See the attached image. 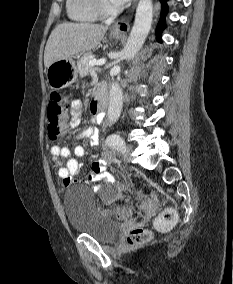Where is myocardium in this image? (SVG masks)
Masks as SVG:
<instances>
[{"label": "myocardium", "instance_id": "1", "mask_svg": "<svg viewBox=\"0 0 233 284\" xmlns=\"http://www.w3.org/2000/svg\"><path fill=\"white\" fill-rule=\"evenodd\" d=\"M93 5L97 14L104 18L113 17L120 11L117 6L114 8L108 7L104 0H93Z\"/></svg>", "mask_w": 233, "mask_h": 284}]
</instances>
